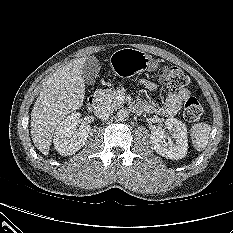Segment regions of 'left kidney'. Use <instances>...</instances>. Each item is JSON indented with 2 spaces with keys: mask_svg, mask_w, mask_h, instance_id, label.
I'll return each mask as SVG.
<instances>
[{
  "mask_svg": "<svg viewBox=\"0 0 233 233\" xmlns=\"http://www.w3.org/2000/svg\"><path fill=\"white\" fill-rule=\"evenodd\" d=\"M166 128L172 132L166 133L162 127H155L151 131V141L154 150L161 156L169 159H182L187 154L188 135L185 124L176 119L168 118Z\"/></svg>",
  "mask_w": 233,
  "mask_h": 233,
  "instance_id": "obj_1",
  "label": "left kidney"
}]
</instances>
